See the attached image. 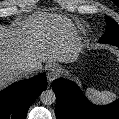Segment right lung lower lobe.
Instances as JSON below:
<instances>
[{
  "instance_id": "1",
  "label": "right lung lower lobe",
  "mask_w": 119,
  "mask_h": 119,
  "mask_svg": "<svg viewBox=\"0 0 119 119\" xmlns=\"http://www.w3.org/2000/svg\"><path fill=\"white\" fill-rule=\"evenodd\" d=\"M47 88L45 73L19 81L0 92V119H26L35 99Z\"/></svg>"
}]
</instances>
